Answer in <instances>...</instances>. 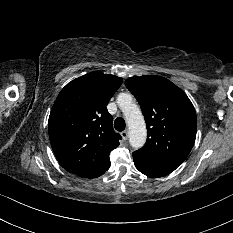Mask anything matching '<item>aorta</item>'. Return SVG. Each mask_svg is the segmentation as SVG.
Masks as SVG:
<instances>
[{
    "mask_svg": "<svg viewBox=\"0 0 233 233\" xmlns=\"http://www.w3.org/2000/svg\"><path fill=\"white\" fill-rule=\"evenodd\" d=\"M117 103L122 109L129 127V142L130 145L139 149L146 142L147 130L144 117L139 107L132 102L130 94L121 93L117 97Z\"/></svg>",
    "mask_w": 233,
    "mask_h": 233,
    "instance_id": "obj_1",
    "label": "aorta"
}]
</instances>
